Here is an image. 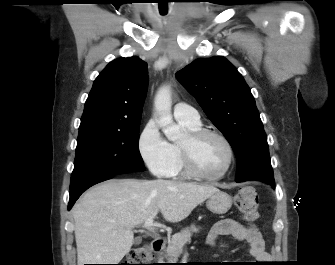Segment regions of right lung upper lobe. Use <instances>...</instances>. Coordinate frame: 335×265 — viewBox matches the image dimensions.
<instances>
[{
    "instance_id": "cb5924a9",
    "label": "right lung upper lobe",
    "mask_w": 335,
    "mask_h": 265,
    "mask_svg": "<svg viewBox=\"0 0 335 265\" xmlns=\"http://www.w3.org/2000/svg\"><path fill=\"white\" fill-rule=\"evenodd\" d=\"M148 84L147 63L116 59L95 79L85 102L79 132L119 129L141 120Z\"/></svg>"
}]
</instances>
